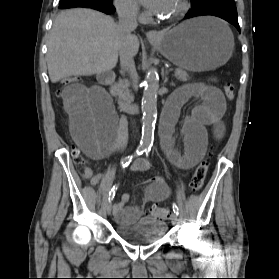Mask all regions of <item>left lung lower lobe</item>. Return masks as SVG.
Masks as SVG:
<instances>
[{
    "label": "left lung lower lobe",
    "mask_w": 279,
    "mask_h": 279,
    "mask_svg": "<svg viewBox=\"0 0 279 279\" xmlns=\"http://www.w3.org/2000/svg\"><path fill=\"white\" fill-rule=\"evenodd\" d=\"M191 3L192 10L185 15V19L201 15H213L228 21L240 32L234 0H195Z\"/></svg>",
    "instance_id": "left-lung-lower-lobe-1"
}]
</instances>
